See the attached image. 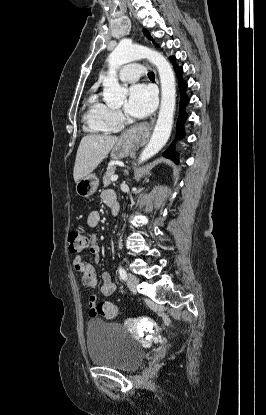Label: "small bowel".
<instances>
[{"instance_id": "1", "label": "small bowel", "mask_w": 266, "mask_h": 415, "mask_svg": "<svg viewBox=\"0 0 266 415\" xmlns=\"http://www.w3.org/2000/svg\"><path fill=\"white\" fill-rule=\"evenodd\" d=\"M102 200L108 206H113L114 211L117 210V200L116 195L112 190H104L102 192ZM100 220V214L97 210H92L89 212L87 217V224L90 227H96ZM88 251L94 259L96 263L99 259L100 254V246L97 243L96 239L93 237L91 242L88 246ZM72 264L76 271L81 273L82 276V283L88 289H93L97 285V278H96V271L94 264L85 263L82 260L80 255H76L72 259ZM102 280L103 285L101 286V292L105 296H110L116 291V285L113 283L111 276L108 272L102 273ZM97 297L95 295H90L88 305H89V313L91 316H95L93 309L96 305Z\"/></svg>"}]
</instances>
